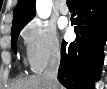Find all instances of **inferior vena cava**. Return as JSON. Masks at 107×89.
<instances>
[{
	"mask_svg": "<svg viewBox=\"0 0 107 89\" xmlns=\"http://www.w3.org/2000/svg\"><path fill=\"white\" fill-rule=\"evenodd\" d=\"M61 55L58 52L49 62L48 67L43 72V76L48 80L50 89H58V69L60 66Z\"/></svg>",
	"mask_w": 107,
	"mask_h": 89,
	"instance_id": "1",
	"label": "inferior vena cava"
}]
</instances>
